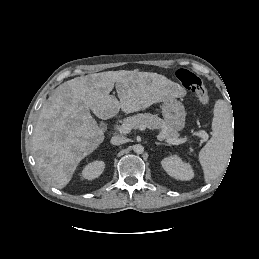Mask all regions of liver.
<instances>
[{
  "mask_svg": "<svg viewBox=\"0 0 259 259\" xmlns=\"http://www.w3.org/2000/svg\"><path fill=\"white\" fill-rule=\"evenodd\" d=\"M116 86L117 100L110 95ZM184 95L165 76L137 70L106 71L76 77L59 85L40 110L32 144L36 165L53 187L64 188L78 164L104 141L100 119L144 110Z\"/></svg>",
  "mask_w": 259,
  "mask_h": 259,
  "instance_id": "6515ba94",
  "label": "liver"
}]
</instances>
